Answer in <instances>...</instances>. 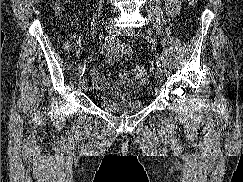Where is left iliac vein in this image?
Here are the masks:
<instances>
[{
  "label": "left iliac vein",
  "instance_id": "1",
  "mask_svg": "<svg viewBox=\"0 0 243 182\" xmlns=\"http://www.w3.org/2000/svg\"><path fill=\"white\" fill-rule=\"evenodd\" d=\"M116 33L121 36H137L136 32L133 29L130 28H118L116 29ZM162 77V70L161 68H158L156 71V79L159 81Z\"/></svg>",
  "mask_w": 243,
  "mask_h": 182
}]
</instances>
